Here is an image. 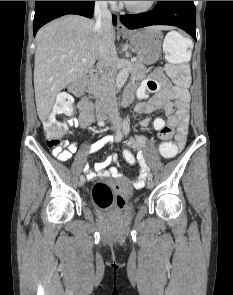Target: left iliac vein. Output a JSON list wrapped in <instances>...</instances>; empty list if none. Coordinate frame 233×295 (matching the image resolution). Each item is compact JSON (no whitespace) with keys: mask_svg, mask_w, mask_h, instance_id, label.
<instances>
[{"mask_svg":"<svg viewBox=\"0 0 233 295\" xmlns=\"http://www.w3.org/2000/svg\"><path fill=\"white\" fill-rule=\"evenodd\" d=\"M147 187H148V188H152V187H153V182H152V180H148V182H147Z\"/></svg>","mask_w":233,"mask_h":295,"instance_id":"4c4485c4","label":"left iliac vein"}]
</instances>
